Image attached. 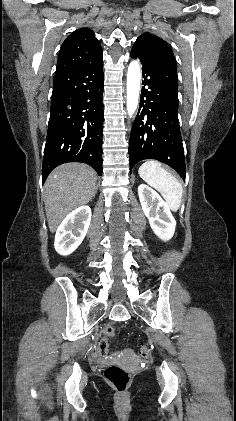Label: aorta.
<instances>
[{"label":"aorta","mask_w":236,"mask_h":421,"mask_svg":"<svg viewBox=\"0 0 236 421\" xmlns=\"http://www.w3.org/2000/svg\"><path fill=\"white\" fill-rule=\"evenodd\" d=\"M141 84V68L139 60H132L127 70V100L126 108L131 118L135 110H137L139 102V92Z\"/></svg>","instance_id":"aorta-1"}]
</instances>
